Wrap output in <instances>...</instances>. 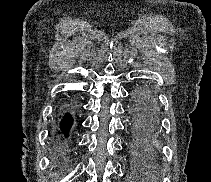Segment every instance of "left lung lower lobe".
<instances>
[{"label":"left lung lower lobe","instance_id":"0a47b994","mask_svg":"<svg viewBox=\"0 0 211 182\" xmlns=\"http://www.w3.org/2000/svg\"><path fill=\"white\" fill-rule=\"evenodd\" d=\"M137 110L141 120L152 130L158 126L160 119L159 108L152 89L143 86L134 93Z\"/></svg>","mask_w":211,"mask_h":182}]
</instances>
